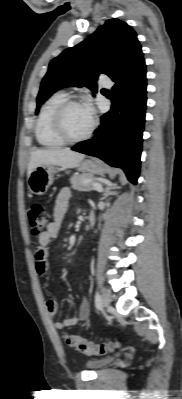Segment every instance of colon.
I'll use <instances>...</instances> for the list:
<instances>
[{"mask_svg": "<svg viewBox=\"0 0 182 399\" xmlns=\"http://www.w3.org/2000/svg\"><path fill=\"white\" fill-rule=\"evenodd\" d=\"M27 215L33 234H41L47 229L49 225V214L42 204H31L28 207ZM64 339L67 346L87 355L107 354L117 350L120 346L118 341L96 343L76 335H65Z\"/></svg>", "mask_w": 182, "mask_h": 399, "instance_id": "obj_1", "label": "colon"}]
</instances>
